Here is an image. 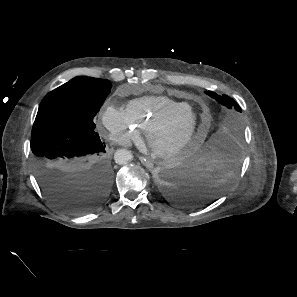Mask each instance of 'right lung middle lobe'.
Listing matches in <instances>:
<instances>
[{"label":"right lung middle lobe","instance_id":"dd1d6c3e","mask_svg":"<svg viewBox=\"0 0 297 297\" xmlns=\"http://www.w3.org/2000/svg\"><path fill=\"white\" fill-rule=\"evenodd\" d=\"M110 89L111 83L105 79L73 78L44 97L32 131L61 122H79L95 128L93 118Z\"/></svg>","mask_w":297,"mask_h":297}]
</instances>
